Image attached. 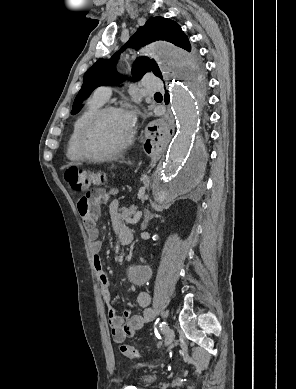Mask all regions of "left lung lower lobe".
Listing matches in <instances>:
<instances>
[{
    "mask_svg": "<svg viewBox=\"0 0 296 389\" xmlns=\"http://www.w3.org/2000/svg\"><path fill=\"white\" fill-rule=\"evenodd\" d=\"M168 101H169V95H168V93L166 92V94H165V102L168 103Z\"/></svg>",
    "mask_w": 296,
    "mask_h": 389,
    "instance_id": "1",
    "label": "left lung lower lobe"
}]
</instances>
